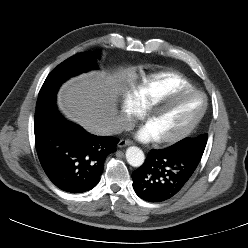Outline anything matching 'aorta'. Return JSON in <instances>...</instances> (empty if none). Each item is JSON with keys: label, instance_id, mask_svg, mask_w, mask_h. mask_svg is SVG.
<instances>
[{"label": "aorta", "instance_id": "1", "mask_svg": "<svg viewBox=\"0 0 248 248\" xmlns=\"http://www.w3.org/2000/svg\"><path fill=\"white\" fill-rule=\"evenodd\" d=\"M126 159L131 166L140 167L144 163L145 156L140 148L131 146L126 150Z\"/></svg>", "mask_w": 248, "mask_h": 248}]
</instances>
